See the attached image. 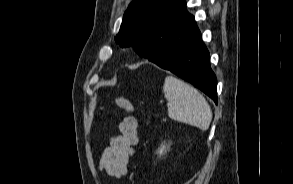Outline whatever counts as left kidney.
Listing matches in <instances>:
<instances>
[{
  "label": "left kidney",
  "instance_id": "left-kidney-1",
  "mask_svg": "<svg viewBox=\"0 0 293 184\" xmlns=\"http://www.w3.org/2000/svg\"><path fill=\"white\" fill-rule=\"evenodd\" d=\"M165 151H166V146H165V145H162V146L159 148V150H158L157 153H159V155H162Z\"/></svg>",
  "mask_w": 293,
  "mask_h": 184
}]
</instances>
